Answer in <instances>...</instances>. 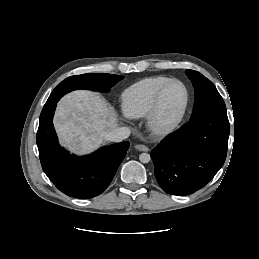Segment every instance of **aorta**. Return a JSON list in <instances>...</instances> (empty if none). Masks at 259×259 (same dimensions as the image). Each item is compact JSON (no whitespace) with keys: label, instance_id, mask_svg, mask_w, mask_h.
<instances>
[{"label":"aorta","instance_id":"aorta-1","mask_svg":"<svg viewBox=\"0 0 259 259\" xmlns=\"http://www.w3.org/2000/svg\"><path fill=\"white\" fill-rule=\"evenodd\" d=\"M151 157L148 153H142L139 156V160L142 163H148L150 161Z\"/></svg>","mask_w":259,"mask_h":259}]
</instances>
